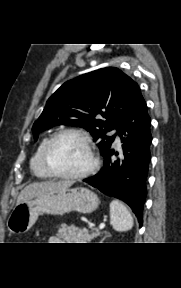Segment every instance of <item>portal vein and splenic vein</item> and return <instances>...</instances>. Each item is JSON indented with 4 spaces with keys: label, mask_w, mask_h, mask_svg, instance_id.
Returning <instances> with one entry per match:
<instances>
[{
    "label": "portal vein and splenic vein",
    "mask_w": 181,
    "mask_h": 288,
    "mask_svg": "<svg viewBox=\"0 0 181 288\" xmlns=\"http://www.w3.org/2000/svg\"><path fill=\"white\" fill-rule=\"evenodd\" d=\"M104 227H105V224L102 223V224H100L99 229L102 230V229H104Z\"/></svg>",
    "instance_id": "1"
}]
</instances>
